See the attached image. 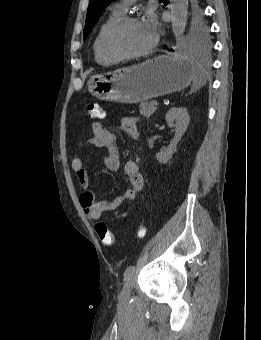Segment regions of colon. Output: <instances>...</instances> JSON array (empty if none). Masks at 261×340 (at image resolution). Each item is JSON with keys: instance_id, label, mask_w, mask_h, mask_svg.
<instances>
[{"instance_id": "1", "label": "colon", "mask_w": 261, "mask_h": 340, "mask_svg": "<svg viewBox=\"0 0 261 340\" xmlns=\"http://www.w3.org/2000/svg\"><path fill=\"white\" fill-rule=\"evenodd\" d=\"M87 115L90 118H102L105 116L104 109L99 106L98 104L91 103L87 106ZM96 233L100 239V241L105 246H111L114 241L115 237L113 233L109 230L106 224L98 223L95 226ZM136 234L138 237H143L145 235V228L142 224H140L136 230Z\"/></svg>"}]
</instances>
